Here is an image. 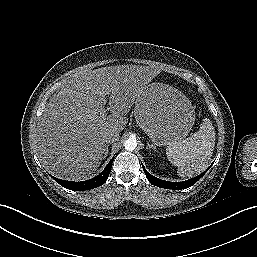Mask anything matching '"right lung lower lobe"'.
<instances>
[{
    "label": "right lung lower lobe",
    "mask_w": 257,
    "mask_h": 257,
    "mask_svg": "<svg viewBox=\"0 0 257 257\" xmlns=\"http://www.w3.org/2000/svg\"><path fill=\"white\" fill-rule=\"evenodd\" d=\"M113 160H114V157L111 159V161L108 163V165L99 175H97L96 177L90 180L81 181V182H71V181L61 180L55 177H53V179L61 186L69 190L85 191V190L93 189L101 186L107 180L112 168Z\"/></svg>",
    "instance_id": "1"
}]
</instances>
